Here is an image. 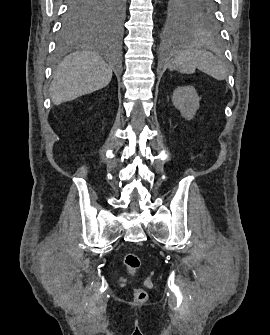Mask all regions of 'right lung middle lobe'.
Masks as SVG:
<instances>
[{
    "label": "right lung middle lobe",
    "mask_w": 270,
    "mask_h": 335,
    "mask_svg": "<svg viewBox=\"0 0 270 335\" xmlns=\"http://www.w3.org/2000/svg\"><path fill=\"white\" fill-rule=\"evenodd\" d=\"M125 8L126 0H69L58 36L59 44L65 45L98 26L119 29Z\"/></svg>",
    "instance_id": "obj_1"
}]
</instances>
